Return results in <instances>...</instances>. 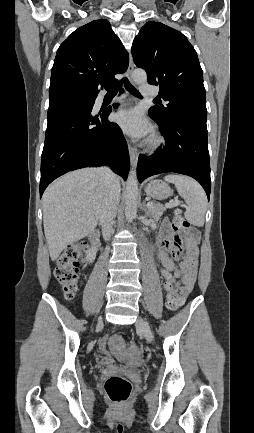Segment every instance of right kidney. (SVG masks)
<instances>
[{
  "instance_id": "1",
  "label": "right kidney",
  "mask_w": 254,
  "mask_h": 433,
  "mask_svg": "<svg viewBox=\"0 0 254 433\" xmlns=\"http://www.w3.org/2000/svg\"><path fill=\"white\" fill-rule=\"evenodd\" d=\"M95 256H96V250H95V248H89L87 251H86V259H87V261H89V262H93V260L95 259Z\"/></svg>"
}]
</instances>
